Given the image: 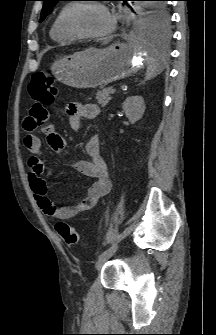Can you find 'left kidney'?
I'll return each mask as SVG.
<instances>
[{
    "mask_svg": "<svg viewBox=\"0 0 216 335\" xmlns=\"http://www.w3.org/2000/svg\"><path fill=\"white\" fill-rule=\"evenodd\" d=\"M123 111L131 124L140 120L145 111L144 100L141 96L128 97L122 105Z\"/></svg>",
    "mask_w": 216,
    "mask_h": 335,
    "instance_id": "obj_1",
    "label": "left kidney"
}]
</instances>
